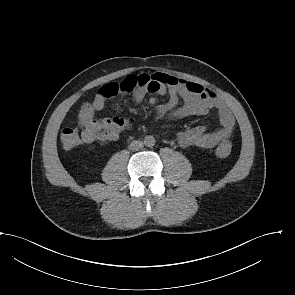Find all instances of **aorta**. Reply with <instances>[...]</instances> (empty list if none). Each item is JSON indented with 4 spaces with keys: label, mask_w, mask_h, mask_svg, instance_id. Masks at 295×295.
Wrapping results in <instances>:
<instances>
[{
    "label": "aorta",
    "mask_w": 295,
    "mask_h": 295,
    "mask_svg": "<svg viewBox=\"0 0 295 295\" xmlns=\"http://www.w3.org/2000/svg\"><path fill=\"white\" fill-rule=\"evenodd\" d=\"M144 144L148 147L154 146L155 139L153 136H146L144 139Z\"/></svg>",
    "instance_id": "1"
}]
</instances>
